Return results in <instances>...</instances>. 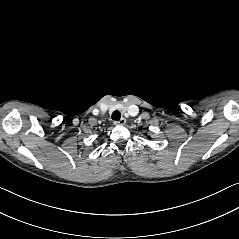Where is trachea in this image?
Returning a JSON list of instances; mask_svg holds the SVG:
<instances>
[{
    "mask_svg": "<svg viewBox=\"0 0 239 239\" xmlns=\"http://www.w3.org/2000/svg\"><path fill=\"white\" fill-rule=\"evenodd\" d=\"M120 118H121V113L119 111H114L112 113V119L113 120L118 121V120H120Z\"/></svg>",
    "mask_w": 239,
    "mask_h": 239,
    "instance_id": "trachea-1",
    "label": "trachea"
}]
</instances>
